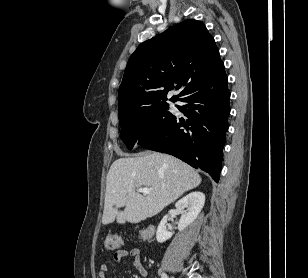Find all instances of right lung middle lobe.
Returning <instances> with one entry per match:
<instances>
[{
  "label": "right lung middle lobe",
  "instance_id": "dd1d6c3e",
  "mask_svg": "<svg viewBox=\"0 0 308 278\" xmlns=\"http://www.w3.org/2000/svg\"><path fill=\"white\" fill-rule=\"evenodd\" d=\"M166 102L140 108L124 119L119 120L122 127L121 138L128 149L135 143L142 144L162 131L175 117Z\"/></svg>",
  "mask_w": 308,
  "mask_h": 278
}]
</instances>
